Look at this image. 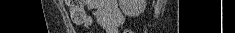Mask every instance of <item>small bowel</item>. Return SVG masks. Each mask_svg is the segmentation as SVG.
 I'll use <instances>...</instances> for the list:
<instances>
[{
    "label": "small bowel",
    "instance_id": "c3829d8e",
    "mask_svg": "<svg viewBox=\"0 0 235 33\" xmlns=\"http://www.w3.org/2000/svg\"><path fill=\"white\" fill-rule=\"evenodd\" d=\"M87 4L91 11L83 22L87 29L96 21L106 33H119L124 17L117 0H89Z\"/></svg>",
    "mask_w": 235,
    "mask_h": 33
}]
</instances>
